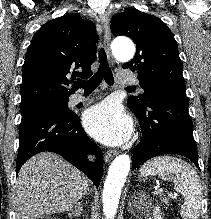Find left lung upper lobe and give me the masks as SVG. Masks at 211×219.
I'll return each mask as SVG.
<instances>
[{
    "mask_svg": "<svg viewBox=\"0 0 211 219\" xmlns=\"http://www.w3.org/2000/svg\"><path fill=\"white\" fill-rule=\"evenodd\" d=\"M111 31L115 36L130 37L136 44L135 57L123 65L138 72L140 86L145 90L142 95L128 98L133 112L143 110L153 93H185L177 43L164 22L156 16L129 10L112 17Z\"/></svg>",
    "mask_w": 211,
    "mask_h": 219,
    "instance_id": "1",
    "label": "left lung upper lobe"
}]
</instances>
